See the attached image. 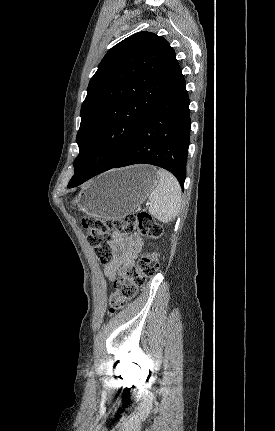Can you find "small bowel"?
<instances>
[{
    "mask_svg": "<svg viewBox=\"0 0 275 431\" xmlns=\"http://www.w3.org/2000/svg\"><path fill=\"white\" fill-rule=\"evenodd\" d=\"M114 251L112 261L105 266L104 275L113 281L117 276H122L134 262L135 257L142 247V241L137 233H124L115 231L111 240Z\"/></svg>",
    "mask_w": 275,
    "mask_h": 431,
    "instance_id": "small-bowel-1",
    "label": "small bowel"
}]
</instances>
